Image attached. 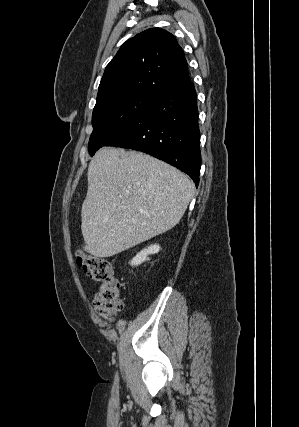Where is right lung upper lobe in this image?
Masks as SVG:
<instances>
[{
  "instance_id": "1",
  "label": "right lung upper lobe",
  "mask_w": 299,
  "mask_h": 427,
  "mask_svg": "<svg viewBox=\"0 0 299 427\" xmlns=\"http://www.w3.org/2000/svg\"><path fill=\"white\" fill-rule=\"evenodd\" d=\"M190 82L176 38L161 28H151L127 40L106 66L97 101L124 93L155 99Z\"/></svg>"
}]
</instances>
